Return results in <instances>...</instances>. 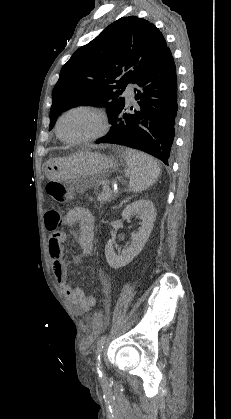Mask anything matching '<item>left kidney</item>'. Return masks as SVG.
Returning a JSON list of instances; mask_svg holds the SVG:
<instances>
[{"label":"left kidney","instance_id":"5707ae66","mask_svg":"<svg viewBox=\"0 0 231 419\" xmlns=\"http://www.w3.org/2000/svg\"><path fill=\"white\" fill-rule=\"evenodd\" d=\"M138 215L142 222L137 233H132L131 243L125 247L121 254L114 252V239H109L105 247V255L107 263L110 267L118 269L130 263L143 249L153 229L156 218V210L149 200H138L126 206L122 212L125 220H130L132 216Z\"/></svg>","mask_w":231,"mask_h":419}]
</instances>
